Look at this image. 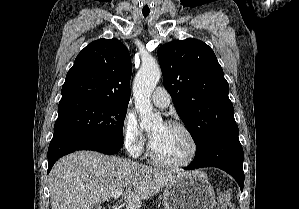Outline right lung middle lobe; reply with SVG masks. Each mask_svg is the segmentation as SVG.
<instances>
[{
  "label": "right lung middle lobe",
  "instance_id": "obj_1",
  "mask_svg": "<svg viewBox=\"0 0 299 209\" xmlns=\"http://www.w3.org/2000/svg\"><path fill=\"white\" fill-rule=\"evenodd\" d=\"M128 105L83 102L59 104L54 132L66 131L102 138L123 146V123Z\"/></svg>",
  "mask_w": 299,
  "mask_h": 209
}]
</instances>
